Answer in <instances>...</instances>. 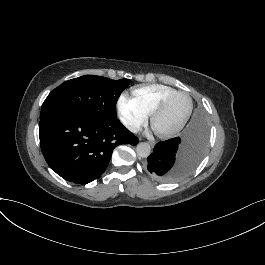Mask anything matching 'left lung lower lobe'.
<instances>
[{"label": "left lung lower lobe", "mask_w": 265, "mask_h": 265, "mask_svg": "<svg viewBox=\"0 0 265 265\" xmlns=\"http://www.w3.org/2000/svg\"><path fill=\"white\" fill-rule=\"evenodd\" d=\"M208 132L205 116L198 109L181 137L155 145L146 163L149 176L159 182H171L188 175L197 167L205 154Z\"/></svg>", "instance_id": "obj_1"}]
</instances>
